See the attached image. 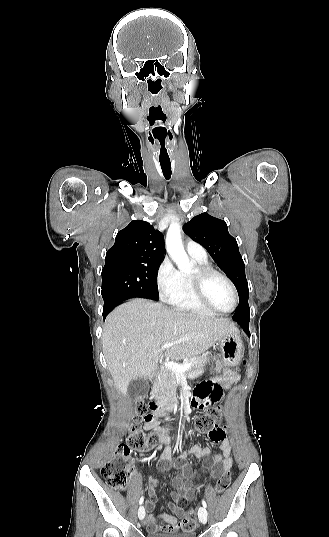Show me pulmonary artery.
<instances>
[{
    "label": "pulmonary artery",
    "instance_id": "obj_1",
    "mask_svg": "<svg viewBox=\"0 0 329 537\" xmlns=\"http://www.w3.org/2000/svg\"><path fill=\"white\" fill-rule=\"evenodd\" d=\"M186 251L187 253L194 257V258H198V259H206V251L205 249L200 245L198 244L197 242L195 241H188L186 243Z\"/></svg>",
    "mask_w": 329,
    "mask_h": 537
}]
</instances>
